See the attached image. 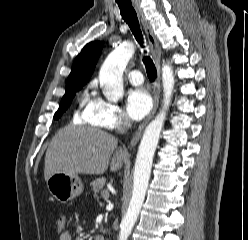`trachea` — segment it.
Here are the masks:
<instances>
[{
  "mask_svg": "<svg viewBox=\"0 0 248 240\" xmlns=\"http://www.w3.org/2000/svg\"><path fill=\"white\" fill-rule=\"evenodd\" d=\"M116 2L119 6L120 13H121L123 20L130 27L133 35L135 36V38H136L137 42L140 44V46L142 48H145L144 38H143L142 31L140 29L138 17H137L136 11L134 10V8L132 6L131 1L121 2L119 0H116ZM144 53H147L146 50H144ZM143 62L145 64L146 72H147L149 80L154 81L157 77V70H156V67H155L152 59L150 58V56H145L143 59Z\"/></svg>",
  "mask_w": 248,
  "mask_h": 240,
  "instance_id": "obj_1",
  "label": "trachea"
}]
</instances>
